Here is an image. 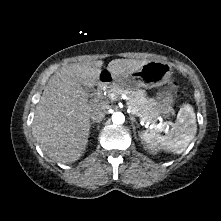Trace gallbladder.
<instances>
[{"instance_id":"gallbladder-1","label":"gallbladder","mask_w":221,"mask_h":221,"mask_svg":"<svg viewBox=\"0 0 221 221\" xmlns=\"http://www.w3.org/2000/svg\"><path fill=\"white\" fill-rule=\"evenodd\" d=\"M84 89L89 95H92L95 91L93 87H84Z\"/></svg>"}]
</instances>
